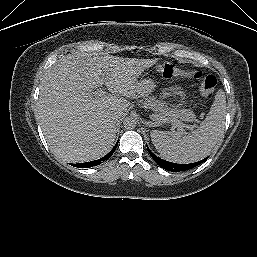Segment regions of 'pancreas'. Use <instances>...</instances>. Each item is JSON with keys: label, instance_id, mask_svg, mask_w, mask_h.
I'll list each match as a JSON object with an SVG mask.
<instances>
[{"label": "pancreas", "instance_id": "cf45deb5", "mask_svg": "<svg viewBox=\"0 0 257 257\" xmlns=\"http://www.w3.org/2000/svg\"><path fill=\"white\" fill-rule=\"evenodd\" d=\"M144 105L154 112L159 113L160 117L167 118L168 121H177L178 119L192 121L195 118V114L192 110L169 107L165 102L156 100L155 97L146 98Z\"/></svg>", "mask_w": 257, "mask_h": 257}]
</instances>
